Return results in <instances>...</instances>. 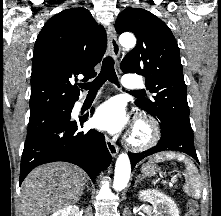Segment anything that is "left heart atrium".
<instances>
[{"instance_id":"39dd6f15","label":"left heart atrium","mask_w":221,"mask_h":216,"mask_svg":"<svg viewBox=\"0 0 221 216\" xmlns=\"http://www.w3.org/2000/svg\"><path fill=\"white\" fill-rule=\"evenodd\" d=\"M92 122L100 130L117 133L127 126L128 116L121 102L109 100L96 109Z\"/></svg>"}]
</instances>
